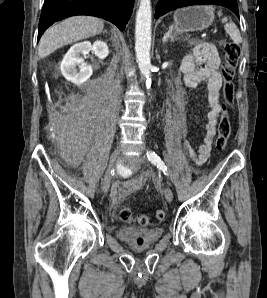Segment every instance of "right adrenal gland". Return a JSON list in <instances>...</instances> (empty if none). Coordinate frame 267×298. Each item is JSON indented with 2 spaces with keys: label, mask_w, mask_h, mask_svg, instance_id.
Here are the masks:
<instances>
[{
  "label": "right adrenal gland",
  "mask_w": 267,
  "mask_h": 298,
  "mask_svg": "<svg viewBox=\"0 0 267 298\" xmlns=\"http://www.w3.org/2000/svg\"><path fill=\"white\" fill-rule=\"evenodd\" d=\"M103 33H108V32L106 30H104Z\"/></svg>",
  "instance_id": "right-adrenal-gland-1"
}]
</instances>
